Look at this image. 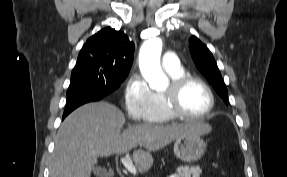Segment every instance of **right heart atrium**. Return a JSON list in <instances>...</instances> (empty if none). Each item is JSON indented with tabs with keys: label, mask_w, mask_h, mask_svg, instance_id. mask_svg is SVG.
I'll return each mask as SVG.
<instances>
[{
	"label": "right heart atrium",
	"mask_w": 287,
	"mask_h": 177,
	"mask_svg": "<svg viewBox=\"0 0 287 177\" xmlns=\"http://www.w3.org/2000/svg\"><path fill=\"white\" fill-rule=\"evenodd\" d=\"M125 108L135 123L148 121L154 106V93L143 77L137 74L130 76L124 93Z\"/></svg>",
	"instance_id": "right-heart-atrium-1"
}]
</instances>
